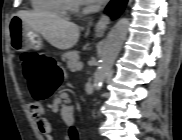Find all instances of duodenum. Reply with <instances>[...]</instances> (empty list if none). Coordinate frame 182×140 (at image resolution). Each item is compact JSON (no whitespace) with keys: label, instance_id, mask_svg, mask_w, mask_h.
<instances>
[{"label":"duodenum","instance_id":"obj_1","mask_svg":"<svg viewBox=\"0 0 182 140\" xmlns=\"http://www.w3.org/2000/svg\"><path fill=\"white\" fill-rule=\"evenodd\" d=\"M62 112H63V114H64V116H65V118L67 120H73L74 117H75V110H74V108H71V107L63 108Z\"/></svg>","mask_w":182,"mask_h":140}]
</instances>
